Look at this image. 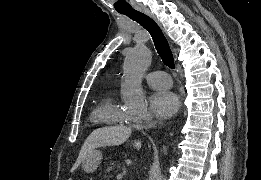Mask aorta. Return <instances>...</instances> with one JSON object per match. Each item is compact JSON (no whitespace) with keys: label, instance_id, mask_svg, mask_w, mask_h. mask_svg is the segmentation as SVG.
I'll return each instance as SVG.
<instances>
[{"label":"aorta","instance_id":"762f6f07","mask_svg":"<svg viewBox=\"0 0 261 180\" xmlns=\"http://www.w3.org/2000/svg\"><path fill=\"white\" fill-rule=\"evenodd\" d=\"M151 60V51L144 44H139L126 53L124 61L125 80L121 93L124 104L129 110L140 111L147 107L141 81L145 71L151 64Z\"/></svg>","mask_w":261,"mask_h":180}]
</instances>
